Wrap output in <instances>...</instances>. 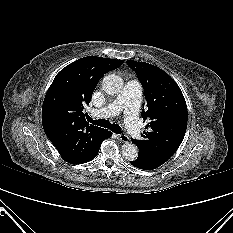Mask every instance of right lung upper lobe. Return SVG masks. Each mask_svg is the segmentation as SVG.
<instances>
[{"label": "right lung upper lobe", "instance_id": "right-lung-upper-lobe-1", "mask_svg": "<svg viewBox=\"0 0 233 233\" xmlns=\"http://www.w3.org/2000/svg\"><path fill=\"white\" fill-rule=\"evenodd\" d=\"M124 60L88 56L69 64L54 78L42 106V124L49 140L63 160L81 161L99 143L105 129L89 125L83 109L109 71Z\"/></svg>", "mask_w": 233, "mask_h": 233}]
</instances>
